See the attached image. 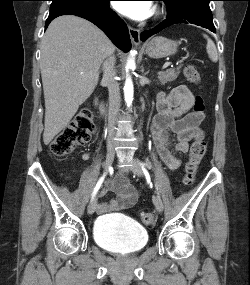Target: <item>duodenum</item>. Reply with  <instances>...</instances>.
I'll return each instance as SVG.
<instances>
[{
  "instance_id": "1",
  "label": "duodenum",
  "mask_w": 250,
  "mask_h": 285,
  "mask_svg": "<svg viewBox=\"0 0 250 285\" xmlns=\"http://www.w3.org/2000/svg\"><path fill=\"white\" fill-rule=\"evenodd\" d=\"M104 110H105V109H104V105L102 104V105H101V111L104 112Z\"/></svg>"
}]
</instances>
